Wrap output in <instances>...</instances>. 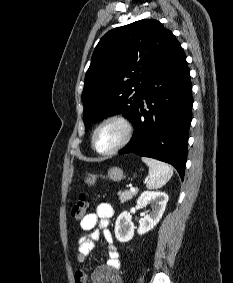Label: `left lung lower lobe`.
<instances>
[{"mask_svg": "<svg viewBox=\"0 0 233 283\" xmlns=\"http://www.w3.org/2000/svg\"><path fill=\"white\" fill-rule=\"evenodd\" d=\"M192 105L190 71L178 42L147 80L143 99L131 120L134 135L119 153L133 152L167 162L183 180Z\"/></svg>", "mask_w": 233, "mask_h": 283, "instance_id": "left-lung-lower-lobe-1", "label": "left lung lower lobe"}]
</instances>
